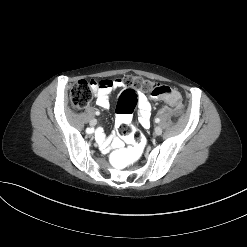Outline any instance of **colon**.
<instances>
[{
	"label": "colon",
	"mask_w": 247,
	"mask_h": 247,
	"mask_svg": "<svg viewBox=\"0 0 247 247\" xmlns=\"http://www.w3.org/2000/svg\"><path fill=\"white\" fill-rule=\"evenodd\" d=\"M127 89L118 100L116 108V125L118 135L128 143L123 149H114L109 154V163L114 168L128 169L142 159L146 147V138L132 125V113L138 102V91H147L153 98L163 99L170 105L180 103L179 94L170 87L155 84L138 76L123 79ZM94 81L80 80L70 91L71 104L75 109L85 108L92 98Z\"/></svg>",
	"instance_id": "1"
}]
</instances>
